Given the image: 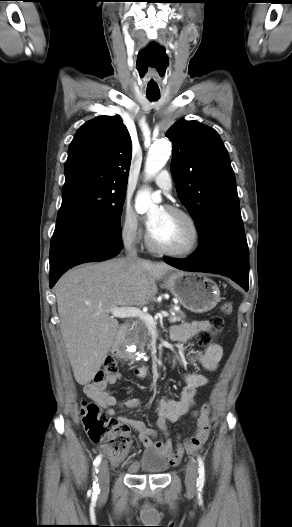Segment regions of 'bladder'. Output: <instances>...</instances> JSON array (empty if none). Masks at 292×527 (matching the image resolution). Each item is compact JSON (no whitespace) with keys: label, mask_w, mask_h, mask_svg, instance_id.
<instances>
[{"label":"bladder","mask_w":292,"mask_h":527,"mask_svg":"<svg viewBox=\"0 0 292 527\" xmlns=\"http://www.w3.org/2000/svg\"><path fill=\"white\" fill-rule=\"evenodd\" d=\"M168 467L169 462L167 458L153 450L146 451L138 462V468L149 474H162Z\"/></svg>","instance_id":"1"}]
</instances>
